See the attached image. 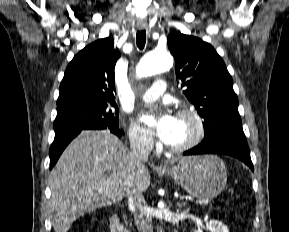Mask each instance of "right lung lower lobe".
Returning <instances> with one entry per match:
<instances>
[{
    "mask_svg": "<svg viewBox=\"0 0 289 232\" xmlns=\"http://www.w3.org/2000/svg\"><path fill=\"white\" fill-rule=\"evenodd\" d=\"M108 129L110 132L114 133L118 137L122 136V131L117 128H103ZM82 130L85 129H73L68 130L65 132H61L58 134H55L54 141L50 147L49 150V156H50V169L56 164L58 158L60 157L61 153L65 149V147L70 143V141L76 137Z\"/></svg>",
    "mask_w": 289,
    "mask_h": 232,
    "instance_id": "98d812e1",
    "label": "right lung lower lobe"
}]
</instances>
